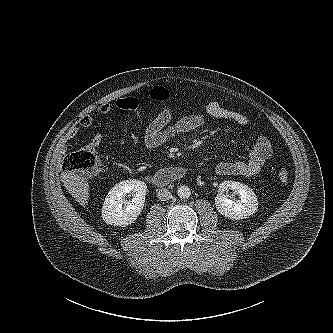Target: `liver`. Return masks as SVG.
I'll return each mask as SVG.
<instances>
[{"instance_id":"1","label":"liver","mask_w":333,"mask_h":333,"mask_svg":"<svg viewBox=\"0 0 333 333\" xmlns=\"http://www.w3.org/2000/svg\"><path fill=\"white\" fill-rule=\"evenodd\" d=\"M61 181L69 194L82 206H86L89 200V183L81 174L73 171L61 173Z\"/></svg>"}]
</instances>
